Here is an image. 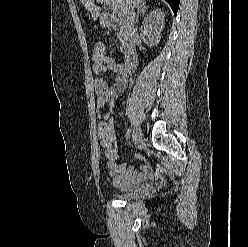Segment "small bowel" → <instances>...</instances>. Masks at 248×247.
<instances>
[{
	"label": "small bowel",
	"instance_id": "1",
	"mask_svg": "<svg viewBox=\"0 0 248 247\" xmlns=\"http://www.w3.org/2000/svg\"><path fill=\"white\" fill-rule=\"evenodd\" d=\"M93 72L96 77L94 89L96 93L97 118L99 119L98 136L106 158V166L112 183L122 188H131L145 181L150 176V170L146 166L136 169L126 163L118 164L117 135L115 121L111 116L116 100L124 92L128 76L123 64L117 63L110 56L97 58L93 55ZM114 75V83L110 86L101 76L103 72ZM108 105V108H105Z\"/></svg>",
	"mask_w": 248,
	"mask_h": 247
}]
</instances>
